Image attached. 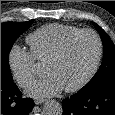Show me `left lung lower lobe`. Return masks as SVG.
Wrapping results in <instances>:
<instances>
[{"mask_svg": "<svg viewBox=\"0 0 115 115\" xmlns=\"http://www.w3.org/2000/svg\"><path fill=\"white\" fill-rule=\"evenodd\" d=\"M62 104V115H115V85L76 93Z\"/></svg>", "mask_w": 115, "mask_h": 115, "instance_id": "left-lung-lower-lobe-1", "label": "left lung lower lobe"}]
</instances>
